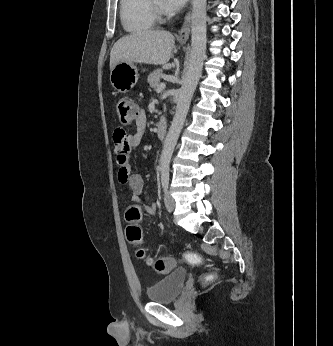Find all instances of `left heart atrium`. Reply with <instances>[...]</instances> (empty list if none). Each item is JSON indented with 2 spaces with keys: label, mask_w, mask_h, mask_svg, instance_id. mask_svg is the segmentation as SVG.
Masks as SVG:
<instances>
[{
  "label": "left heart atrium",
  "mask_w": 333,
  "mask_h": 346,
  "mask_svg": "<svg viewBox=\"0 0 333 346\" xmlns=\"http://www.w3.org/2000/svg\"><path fill=\"white\" fill-rule=\"evenodd\" d=\"M187 2V0H161V6L166 12H177L179 11Z\"/></svg>",
  "instance_id": "1"
}]
</instances>
